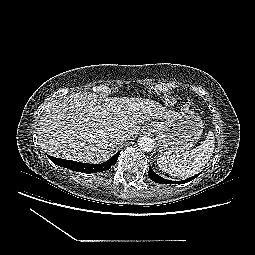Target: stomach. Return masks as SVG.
<instances>
[{"instance_id": "1", "label": "stomach", "mask_w": 255, "mask_h": 255, "mask_svg": "<svg viewBox=\"0 0 255 255\" xmlns=\"http://www.w3.org/2000/svg\"><path fill=\"white\" fill-rule=\"evenodd\" d=\"M145 130L156 134L161 154L173 155L188 151L197 144L203 132V123L195 112L181 111L164 121L148 123Z\"/></svg>"}]
</instances>
